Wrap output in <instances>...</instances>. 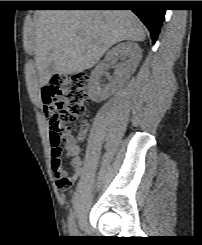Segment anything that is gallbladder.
I'll use <instances>...</instances> for the list:
<instances>
[{
	"label": "gallbladder",
	"instance_id": "obj_1",
	"mask_svg": "<svg viewBox=\"0 0 202 245\" xmlns=\"http://www.w3.org/2000/svg\"><path fill=\"white\" fill-rule=\"evenodd\" d=\"M53 69H54V63L52 62V63H50V64L48 65L47 71L50 72V71H52Z\"/></svg>",
	"mask_w": 202,
	"mask_h": 245
}]
</instances>
